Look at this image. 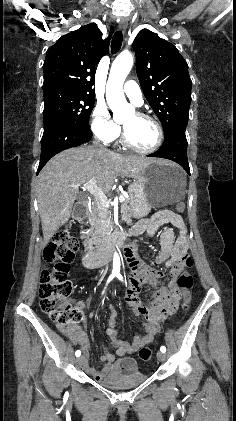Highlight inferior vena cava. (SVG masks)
Instances as JSON below:
<instances>
[{
	"label": "inferior vena cava",
	"mask_w": 236,
	"mask_h": 421,
	"mask_svg": "<svg viewBox=\"0 0 236 421\" xmlns=\"http://www.w3.org/2000/svg\"><path fill=\"white\" fill-rule=\"evenodd\" d=\"M93 144L94 146H100V148H105V146H103V144H100L99 140H97V138H95V140H93Z\"/></svg>",
	"instance_id": "inferior-vena-cava-1"
}]
</instances>
